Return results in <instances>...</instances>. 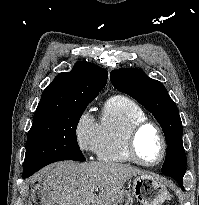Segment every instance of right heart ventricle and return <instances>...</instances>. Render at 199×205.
<instances>
[{"mask_svg": "<svg viewBox=\"0 0 199 205\" xmlns=\"http://www.w3.org/2000/svg\"><path fill=\"white\" fill-rule=\"evenodd\" d=\"M147 119L144 110L132 99L115 95L104 104L97 127L96 155L104 163L127 164L126 137L137 122Z\"/></svg>", "mask_w": 199, "mask_h": 205, "instance_id": "obj_1", "label": "right heart ventricle"}]
</instances>
